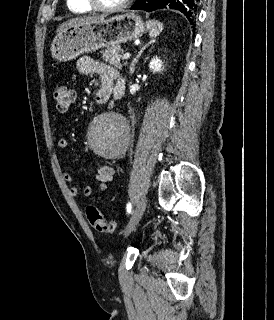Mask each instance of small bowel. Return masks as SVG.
<instances>
[{
  "instance_id": "1",
  "label": "small bowel",
  "mask_w": 274,
  "mask_h": 320,
  "mask_svg": "<svg viewBox=\"0 0 274 320\" xmlns=\"http://www.w3.org/2000/svg\"><path fill=\"white\" fill-rule=\"evenodd\" d=\"M78 72L83 76H98L100 79V91H105L109 94V97L118 98L124 92V81L118 75V73L106 66L104 63L90 56H82L76 63ZM68 141L64 138L58 141V147L61 149L66 148ZM62 178L70 183L74 184V177L67 171L61 172ZM115 175V168L111 165H103L98 167L94 172L97 185L92 188L90 186L73 185L69 189V193L72 197L88 198L93 195H100L105 192L107 184L110 183Z\"/></svg>"
}]
</instances>
